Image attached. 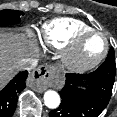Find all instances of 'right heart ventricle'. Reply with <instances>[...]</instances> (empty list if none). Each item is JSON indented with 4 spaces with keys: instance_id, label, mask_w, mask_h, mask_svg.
I'll use <instances>...</instances> for the list:
<instances>
[{
    "instance_id": "e07e8e85",
    "label": "right heart ventricle",
    "mask_w": 117,
    "mask_h": 117,
    "mask_svg": "<svg viewBox=\"0 0 117 117\" xmlns=\"http://www.w3.org/2000/svg\"><path fill=\"white\" fill-rule=\"evenodd\" d=\"M92 29L81 20L57 18L45 23L39 33V40L51 48H64L77 33Z\"/></svg>"
}]
</instances>
